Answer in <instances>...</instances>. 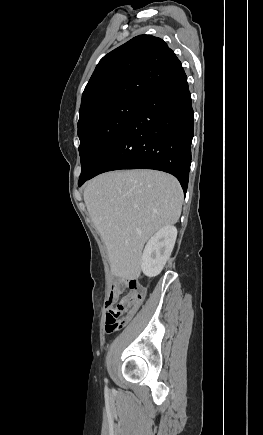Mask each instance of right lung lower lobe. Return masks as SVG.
<instances>
[{"instance_id": "obj_1", "label": "right lung lower lobe", "mask_w": 263, "mask_h": 435, "mask_svg": "<svg viewBox=\"0 0 263 435\" xmlns=\"http://www.w3.org/2000/svg\"><path fill=\"white\" fill-rule=\"evenodd\" d=\"M193 116L187 76L182 69L144 101L88 179L111 170L155 169L174 175L186 192L191 164Z\"/></svg>"}]
</instances>
